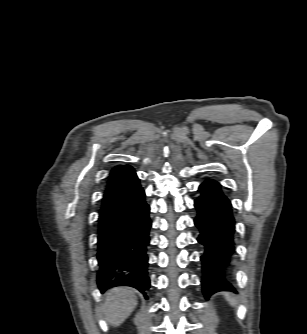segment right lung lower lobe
I'll list each match as a JSON object with an SVG mask.
<instances>
[{
    "instance_id": "98d812e1",
    "label": "right lung lower lobe",
    "mask_w": 307,
    "mask_h": 334,
    "mask_svg": "<svg viewBox=\"0 0 307 334\" xmlns=\"http://www.w3.org/2000/svg\"><path fill=\"white\" fill-rule=\"evenodd\" d=\"M149 211L136 174L104 194L97 242V284L102 292L115 286H131L147 298Z\"/></svg>"
}]
</instances>
